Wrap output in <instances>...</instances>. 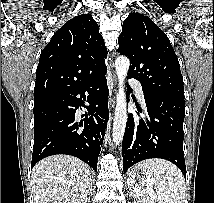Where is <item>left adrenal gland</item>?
I'll use <instances>...</instances> for the list:
<instances>
[{
  "label": "left adrenal gland",
  "mask_w": 214,
  "mask_h": 203,
  "mask_svg": "<svg viewBox=\"0 0 214 203\" xmlns=\"http://www.w3.org/2000/svg\"><path fill=\"white\" fill-rule=\"evenodd\" d=\"M129 191H130V196H132L133 195V193H132V191H131V189L129 188Z\"/></svg>",
  "instance_id": "a2214340"
}]
</instances>
